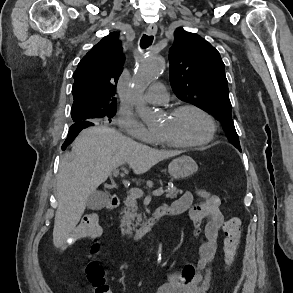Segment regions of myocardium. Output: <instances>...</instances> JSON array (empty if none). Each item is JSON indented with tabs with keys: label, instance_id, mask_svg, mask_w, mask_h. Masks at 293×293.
<instances>
[{
	"label": "myocardium",
	"instance_id": "obj_1",
	"mask_svg": "<svg viewBox=\"0 0 293 293\" xmlns=\"http://www.w3.org/2000/svg\"><path fill=\"white\" fill-rule=\"evenodd\" d=\"M185 111H195L197 113H199L200 115H202L208 125H209V130H208V134L205 138H203L200 141L197 142H183V141H179L175 138L163 135V134H158V138L164 142L166 145L168 146H174V147H178V148H197V147H202L208 143H210L216 136L217 133V125L215 122V119L212 117L211 114H209L207 111H205L204 109H202L199 106L193 105V104H184V105H180L177 106L173 109H171L168 113L169 116L173 117L176 116L182 112Z\"/></svg>",
	"mask_w": 293,
	"mask_h": 293
}]
</instances>
